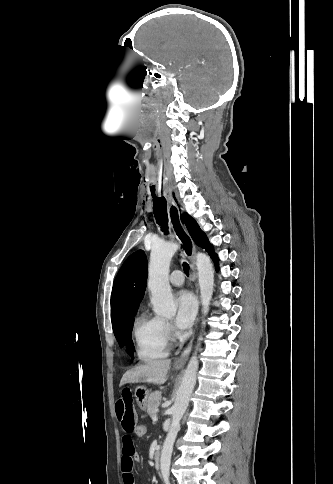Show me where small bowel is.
Here are the masks:
<instances>
[{
    "mask_svg": "<svg viewBox=\"0 0 333 484\" xmlns=\"http://www.w3.org/2000/svg\"><path fill=\"white\" fill-rule=\"evenodd\" d=\"M116 419L121 425L124 435L122 437L121 471L124 484H134L133 465L139 461L133 442L134 429L138 424V414L134 403V394L131 388H122L115 403Z\"/></svg>",
    "mask_w": 333,
    "mask_h": 484,
    "instance_id": "small-bowel-1",
    "label": "small bowel"
}]
</instances>
